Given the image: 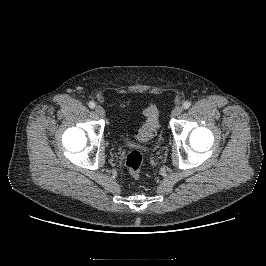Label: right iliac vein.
<instances>
[{"mask_svg": "<svg viewBox=\"0 0 266 266\" xmlns=\"http://www.w3.org/2000/svg\"><path fill=\"white\" fill-rule=\"evenodd\" d=\"M95 112L100 116V117H104L105 116V110L103 107L101 106H96L95 108Z\"/></svg>", "mask_w": 266, "mask_h": 266, "instance_id": "1", "label": "right iliac vein"}]
</instances>
